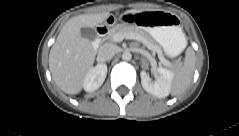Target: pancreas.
Segmentation results:
<instances>
[{
    "label": "pancreas",
    "mask_w": 239,
    "mask_h": 136,
    "mask_svg": "<svg viewBox=\"0 0 239 136\" xmlns=\"http://www.w3.org/2000/svg\"><path fill=\"white\" fill-rule=\"evenodd\" d=\"M117 33L139 35L142 38H144L147 41L148 45L151 46L157 53L162 54V50H161L160 46L157 45L147 34H145L138 27L127 26V25H124V24H118V25L114 26L108 32V34L105 36V40L113 42L114 41L113 38H114L115 34H117ZM165 65L170 66L171 68H174L170 63L165 64Z\"/></svg>",
    "instance_id": "obj_1"
}]
</instances>
